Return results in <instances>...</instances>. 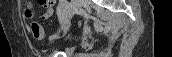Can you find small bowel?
I'll use <instances>...</instances> for the list:
<instances>
[{
    "instance_id": "1",
    "label": "small bowel",
    "mask_w": 172,
    "mask_h": 57,
    "mask_svg": "<svg viewBox=\"0 0 172 57\" xmlns=\"http://www.w3.org/2000/svg\"><path fill=\"white\" fill-rule=\"evenodd\" d=\"M39 2L45 8L44 13L41 15V19L46 20L52 15L53 6L55 5L56 1L55 0H39ZM26 7H25V9H26ZM24 15H25L26 18H32L34 16V10L32 9L31 13H28L25 10ZM43 36H44V33H43V35H42V37L40 39H42Z\"/></svg>"
}]
</instances>
